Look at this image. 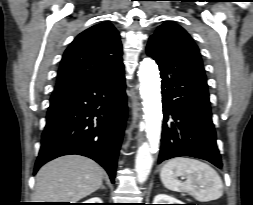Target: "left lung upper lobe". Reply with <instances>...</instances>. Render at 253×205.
<instances>
[{"mask_svg": "<svg viewBox=\"0 0 253 205\" xmlns=\"http://www.w3.org/2000/svg\"><path fill=\"white\" fill-rule=\"evenodd\" d=\"M150 39L158 40L170 48L183 52L203 65L197 45L189 34L175 23L166 22L162 24Z\"/></svg>", "mask_w": 253, "mask_h": 205, "instance_id": "1", "label": "left lung upper lobe"}]
</instances>
